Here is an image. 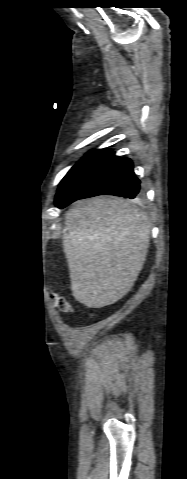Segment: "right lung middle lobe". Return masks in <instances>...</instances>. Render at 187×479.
Returning <instances> with one entry per match:
<instances>
[{
  "instance_id": "1",
  "label": "right lung middle lobe",
  "mask_w": 187,
  "mask_h": 479,
  "mask_svg": "<svg viewBox=\"0 0 187 479\" xmlns=\"http://www.w3.org/2000/svg\"><path fill=\"white\" fill-rule=\"evenodd\" d=\"M110 153V150H95L78 161L62 179L55 200L59 199L62 194L72 185V183L76 181L82 174H84L87 170H89L92 166L101 161Z\"/></svg>"
}]
</instances>
